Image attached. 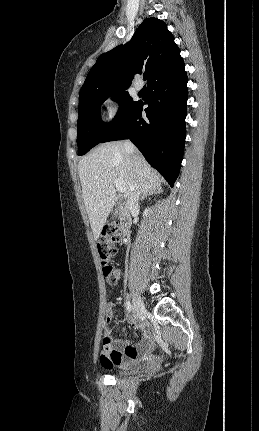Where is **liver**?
Returning <instances> with one entry per match:
<instances>
[{"instance_id": "obj_1", "label": "liver", "mask_w": 259, "mask_h": 431, "mask_svg": "<svg viewBox=\"0 0 259 431\" xmlns=\"http://www.w3.org/2000/svg\"><path fill=\"white\" fill-rule=\"evenodd\" d=\"M124 142L103 143L78 163L83 199L94 238L97 240L116 202L115 180L125 185L128 199L136 185L141 193L161 189L162 178L135 149L133 156Z\"/></svg>"}]
</instances>
